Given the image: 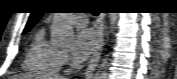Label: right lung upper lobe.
<instances>
[{
  "instance_id": "obj_1",
  "label": "right lung upper lobe",
  "mask_w": 177,
  "mask_h": 79,
  "mask_svg": "<svg viewBox=\"0 0 177 79\" xmlns=\"http://www.w3.org/2000/svg\"><path fill=\"white\" fill-rule=\"evenodd\" d=\"M42 14H43L42 11L31 13L26 27H29V26L33 27L38 22V20L41 18Z\"/></svg>"
}]
</instances>
